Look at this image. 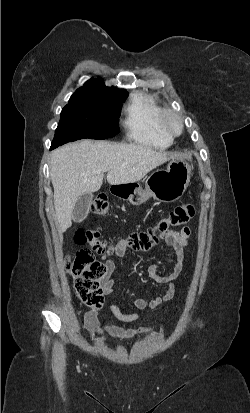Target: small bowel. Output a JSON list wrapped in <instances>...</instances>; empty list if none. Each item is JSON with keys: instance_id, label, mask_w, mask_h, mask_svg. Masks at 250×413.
<instances>
[{"instance_id": "small-bowel-1", "label": "small bowel", "mask_w": 250, "mask_h": 413, "mask_svg": "<svg viewBox=\"0 0 250 413\" xmlns=\"http://www.w3.org/2000/svg\"><path fill=\"white\" fill-rule=\"evenodd\" d=\"M191 230L189 227H184L180 230L177 229H165L160 232L161 236H164V241L167 246H169L173 254L166 253L160 249V254L163 259L169 264L173 265V270L169 274H160V266L157 264H152L147 268V277L158 284H167L168 289L165 294L157 296L153 299L147 298H137L133 301V306L137 310L144 309H154L159 305L170 301L175 295V284L174 281L182 272L185 264L186 257L184 255V249L188 246V239L190 237ZM124 254L123 249L115 247L111 252L106 253L101 258V263L105 266L106 272L101 278V286L105 296H111L115 291V282L111 278L112 273L115 269V263L112 259H108L110 256L121 257ZM109 309L113 315L120 321L123 322H133L140 318L139 313H123L116 304L110 303ZM98 309L92 308L84 314V326L93 335H102L104 331H107L113 338L121 341H129L140 334H146L152 331L151 327H140L137 329H125L121 326L115 324H107L102 328L99 324L97 317Z\"/></svg>"}]
</instances>
